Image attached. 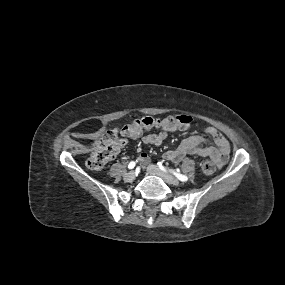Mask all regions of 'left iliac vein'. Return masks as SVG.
<instances>
[{
	"label": "left iliac vein",
	"instance_id": "left-iliac-vein-1",
	"mask_svg": "<svg viewBox=\"0 0 285 285\" xmlns=\"http://www.w3.org/2000/svg\"><path fill=\"white\" fill-rule=\"evenodd\" d=\"M147 171L150 174L161 177L168 184H171L174 186H178L180 184V182L174 176H172L171 174H169L168 172L164 170H161L156 165H153V164L148 165Z\"/></svg>",
	"mask_w": 285,
	"mask_h": 285
}]
</instances>
